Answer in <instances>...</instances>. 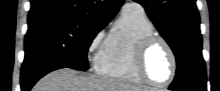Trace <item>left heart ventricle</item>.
I'll use <instances>...</instances> for the list:
<instances>
[{"mask_svg": "<svg viewBox=\"0 0 220 91\" xmlns=\"http://www.w3.org/2000/svg\"><path fill=\"white\" fill-rule=\"evenodd\" d=\"M146 71L156 82H165L171 73V58L162 44L154 45L146 58Z\"/></svg>", "mask_w": 220, "mask_h": 91, "instance_id": "left-heart-ventricle-1", "label": "left heart ventricle"}]
</instances>
